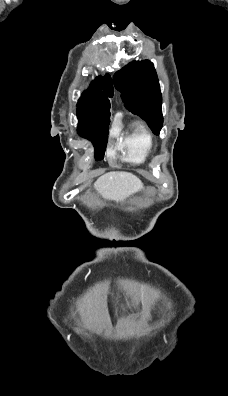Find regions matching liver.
<instances>
[{
  "instance_id": "6515ba94",
  "label": "liver",
  "mask_w": 228,
  "mask_h": 396,
  "mask_svg": "<svg viewBox=\"0 0 228 396\" xmlns=\"http://www.w3.org/2000/svg\"><path fill=\"white\" fill-rule=\"evenodd\" d=\"M94 187L105 199L119 202L142 190L143 183L131 173L109 172L99 177Z\"/></svg>"
}]
</instances>
